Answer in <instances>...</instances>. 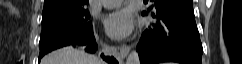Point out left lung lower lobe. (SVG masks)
I'll return each mask as SVG.
<instances>
[{
	"label": "left lung lower lobe",
	"mask_w": 242,
	"mask_h": 64,
	"mask_svg": "<svg viewBox=\"0 0 242 64\" xmlns=\"http://www.w3.org/2000/svg\"><path fill=\"white\" fill-rule=\"evenodd\" d=\"M149 14L156 21L144 31L137 46L141 64H202L192 0H161Z\"/></svg>",
	"instance_id": "left-lung-lower-lobe-1"
}]
</instances>
